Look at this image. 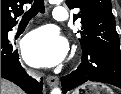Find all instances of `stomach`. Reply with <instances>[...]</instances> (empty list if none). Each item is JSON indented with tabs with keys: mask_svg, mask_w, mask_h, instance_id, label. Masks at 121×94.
<instances>
[{
	"mask_svg": "<svg viewBox=\"0 0 121 94\" xmlns=\"http://www.w3.org/2000/svg\"><path fill=\"white\" fill-rule=\"evenodd\" d=\"M72 94H114L106 85L89 82L77 88Z\"/></svg>",
	"mask_w": 121,
	"mask_h": 94,
	"instance_id": "obj_1",
	"label": "stomach"
}]
</instances>
